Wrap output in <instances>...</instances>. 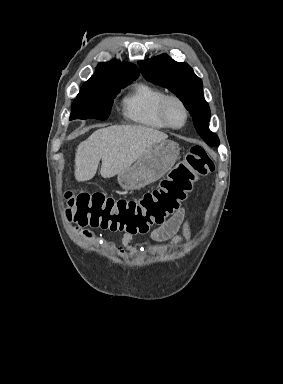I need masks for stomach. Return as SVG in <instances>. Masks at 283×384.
<instances>
[{"label": "stomach", "mask_w": 283, "mask_h": 384, "mask_svg": "<svg viewBox=\"0 0 283 384\" xmlns=\"http://www.w3.org/2000/svg\"><path fill=\"white\" fill-rule=\"evenodd\" d=\"M180 148L176 142L162 140L149 146L132 168L118 174V184L123 190H140L163 178L174 166Z\"/></svg>", "instance_id": "obj_1"}]
</instances>
